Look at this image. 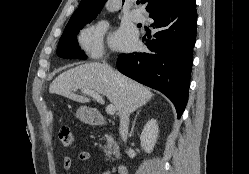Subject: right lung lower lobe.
Instances as JSON below:
<instances>
[{
  "instance_id": "98d812e1",
  "label": "right lung lower lobe",
  "mask_w": 249,
  "mask_h": 174,
  "mask_svg": "<svg viewBox=\"0 0 249 174\" xmlns=\"http://www.w3.org/2000/svg\"><path fill=\"white\" fill-rule=\"evenodd\" d=\"M158 31L146 45L147 53L121 54L118 70L164 93L181 117L188 100L193 47L196 39V0L160 8L149 14Z\"/></svg>"
}]
</instances>
